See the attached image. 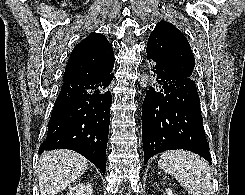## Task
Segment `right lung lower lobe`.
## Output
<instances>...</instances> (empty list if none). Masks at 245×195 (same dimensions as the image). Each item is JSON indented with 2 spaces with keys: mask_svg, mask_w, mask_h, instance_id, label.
Masks as SVG:
<instances>
[{
  "mask_svg": "<svg viewBox=\"0 0 245 195\" xmlns=\"http://www.w3.org/2000/svg\"><path fill=\"white\" fill-rule=\"evenodd\" d=\"M111 71H96L91 77L63 82L39 154L53 149H71L105 174L112 103L109 86L114 77Z\"/></svg>",
  "mask_w": 245,
  "mask_h": 195,
  "instance_id": "1",
  "label": "right lung lower lobe"
}]
</instances>
